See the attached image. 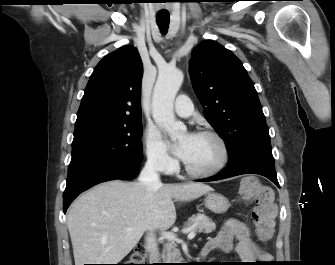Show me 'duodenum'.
Returning <instances> with one entry per match:
<instances>
[{
	"label": "duodenum",
	"mask_w": 335,
	"mask_h": 265,
	"mask_svg": "<svg viewBox=\"0 0 335 265\" xmlns=\"http://www.w3.org/2000/svg\"><path fill=\"white\" fill-rule=\"evenodd\" d=\"M211 250H212V248H210L208 246H204V248L202 249V251L200 253V258L206 257L211 252Z\"/></svg>",
	"instance_id": "410a0bca"
}]
</instances>
